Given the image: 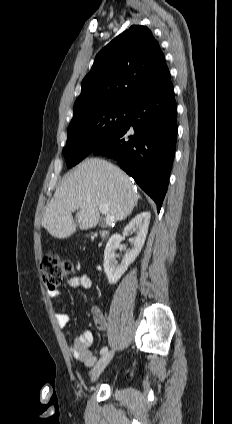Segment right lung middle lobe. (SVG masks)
I'll list each match as a JSON object with an SVG mask.
<instances>
[{
    "mask_svg": "<svg viewBox=\"0 0 232 424\" xmlns=\"http://www.w3.org/2000/svg\"><path fill=\"white\" fill-rule=\"evenodd\" d=\"M130 111L131 106L103 105L73 116L63 149L68 168L79 163L121 129L128 122Z\"/></svg>",
    "mask_w": 232,
    "mask_h": 424,
    "instance_id": "dd1d6c3e",
    "label": "right lung middle lobe"
}]
</instances>
